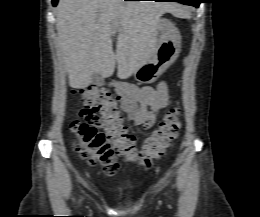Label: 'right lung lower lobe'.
<instances>
[{
  "label": "right lung lower lobe",
  "mask_w": 260,
  "mask_h": 217,
  "mask_svg": "<svg viewBox=\"0 0 260 217\" xmlns=\"http://www.w3.org/2000/svg\"><path fill=\"white\" fill-rule=\"evenodd\" d=\"M127 1V0H126ZM58 0H52L53 6L57 5Z\"/></svg>",
  "instance_id": "right-lung-lower-lobe-1"
}]
</instances>
